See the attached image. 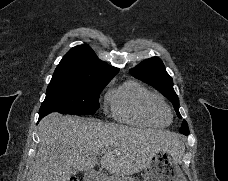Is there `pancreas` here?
<instances>
[{
	"label": "pancreas",
	"mask_w": 228,
	"mask_h": 181,
	"mask_svg": "<svg viewBox=\"0 0 228 181\" xmlns=\"http://www.w3.org/2000/svg\"><path fill=\"white\" fill-rule=\"evenodd\" d=\"M104 179H106V181H134V179H130V177H124V175H111V177H104Z\"/></svg>",
	"instance_id": "obj_1"
}]
</instances>
